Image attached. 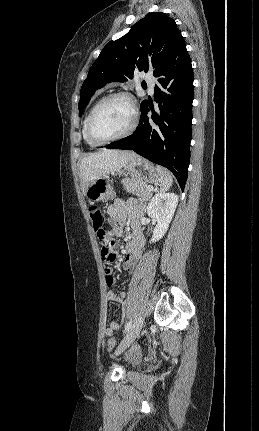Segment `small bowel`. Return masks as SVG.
Returning <instances> with one entry per match:
<instances>
[{"label": "small bowel", "mask_w": 259, "mask_h": 431, "mask_svg": "<svg viewBox=\"0 0 259 431\" xmlns=\"http://www.w3.org/2000/svg\"><path fill=\"white\" fill-rule=\"evenodd\" d=\"M143 211V207L135 202H125L123 200H116L108 208V218L111 224V231L109 236H119L123 232L125 223H130L131 237L130 241L125 246V255L123 256V269L127 273H133L137 261L141 258L142 248L144 245V237L138 222L137 217ZM105 280L107 286L113 288L116 285L113 277L112 268L106 267L104 269ZM125 293H116L109 291L106 298L109 302L123 303L125 301ZM119 329V324L116 321H111L105 329V333L110 335Z\"/></svg>", "instance_id": "small-bowel-1"}]
</instances>
